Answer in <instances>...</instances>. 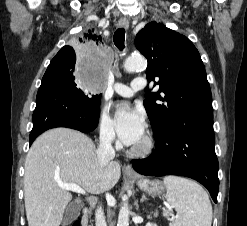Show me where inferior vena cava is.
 Instances as JSON below:
<instances>
[{"mask_svg": "<svg viewBox=\"0 0 247 226\" xmlns=\"http://www.w3.org/2000/svg\"><path fill=\"white\" fill-rule=\"evenodd\" d=\"M114 138L115 132L111 126L101 128L99 147L96 151L101 166H105L111 159L115 157V150L112 147V141ZM95 219L96 226H107L104 212L101 207L96 210Z\"/></svg>", "mask_w": 247, "mask_h": 226, "instance_id": "1", "label": "inferior vena cava"}]
</instances>
